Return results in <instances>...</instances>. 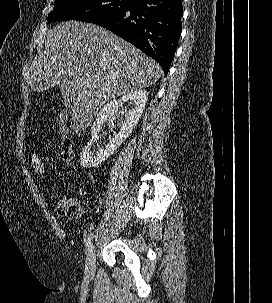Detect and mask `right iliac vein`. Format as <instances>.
I'll return each mask as SVG.
<instances>
[{
	"label": "right iliac vein",
	"instance_id": "1",
	"mask_svg": "<svg viewBox=\"0 0 272 303\" xmlns=\"http://www.w3.org/2000/svg\"><path fill=\"white\" fill-rule=\"evenodd\" d=\"M96 263V248L94 244H91L87 250L86 262H85V275L87 278H93L95 274Z\"/></svg>",
	"mask_w": 272,
	"mask_h": 303
}]
</instances>
